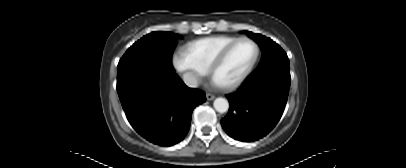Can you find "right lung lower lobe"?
<instances>
[{
	"instance_id": "1",
	"label": "right lung lower lobe",
	"mask_w": 406,
	"mask_h": 168,
	"mask_svg": "<svg viewBox=\"0 0 406 168\" xmlns=\"http://www.w3.org/2000/svg\"><path fill=\"white\" fill-rule=\"evenodd\" d=\"M129 123L146 140L172 146L189 131L193 109L204 92L188 88L175 72H162L117 86Z\"/></svg>"
}]
</instances>
